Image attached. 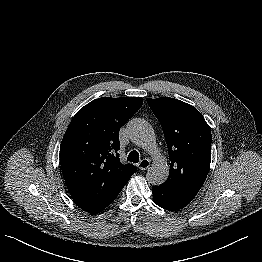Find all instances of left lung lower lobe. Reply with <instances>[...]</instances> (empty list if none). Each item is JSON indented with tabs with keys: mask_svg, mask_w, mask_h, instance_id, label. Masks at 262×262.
<instances>
[{
	"mask_svg": "<svg viewBox=\"0 0 262 262\" xmlns=\"http://www.w3.org/2000/svg\"><path fill=\"white\" fill-rule=\"evenodd\" d=\"M152 191L154 202L158 206L170 211L179 210L194 199L190 194L178 192L163 184L160 186H153Z\"/></svg>",
	"mask_w": 262,
	"mask_h": 262,
	"instance_id": "1",
	"label": "left lung lower lobe"
}]
</instances>
